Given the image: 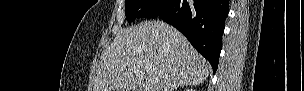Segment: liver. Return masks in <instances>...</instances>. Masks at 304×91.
Masks as SVG:
<instances>
[{
    "label": "liver",
    "instance_id": "1",
    "mask_svg": "<svg viewBox=\"0 0 304 91\" xmlns=\"http://www.w3.org/2000/svg\"><path fill=\"white\" fill-rule=\"evenodd\" d=\"M145 66L153 73L145 78ZM210 65L174 27L144 21L121 30L104 51L94 91H174L202 84Z\"/></svg>",
    "mask_w": 304,
    "mask_h": 91
}]
</instances>
